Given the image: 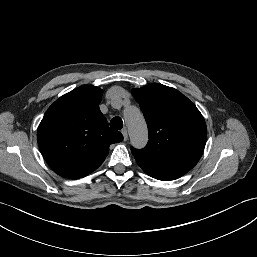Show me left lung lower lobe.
<instances>
[{
	"label": "left lung lower lobe",
	"mask_w": 257,
	"mask_h": 257,
	"mask_svg": "<svg viewBox=\"0 0 257 257\" xmlns=\"http://www.w3.org/2000/svg\"><path fill=\"white\" fill-rule=\"evenodd\" d=\"M139 166L149 176L156 178L158 180H163V181L177 179L190 170L188 168H176V169L159 168V167L147 166L142 164H139Z\"/></svg>",
	"instance_id": "obj_1"
}]
</instances>
